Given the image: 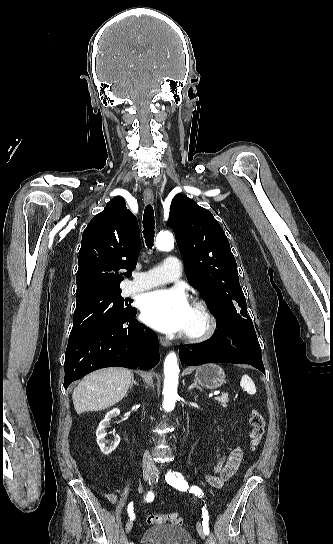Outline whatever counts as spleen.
<instances>
[{"label": "spleen", "instance_id": "1", "mask_svg": "<svg viewBox=\"0 0 333 544\" xmlns=\"http://www.w3.org/2000/svg\"><path fill=\"white\" fill-rule=\"evenodd\" d=\"M240 386L244 388L248 394L253 395L256 393V388L248 375H243L240 381Z\"/></svg>", "mask_w": 333, "mask_h": 544}]
</instances>
